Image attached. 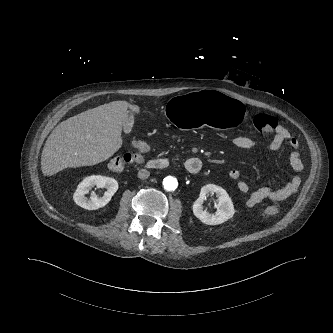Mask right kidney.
<instances>
[{
  "label": "right kidney",
  "mask_w": 333,
  "mask_h": 333,
  "mask_svg": "<svg viewBox=\"0 0 333 333\" xmlns=\"http://www.w3.org/2000/svg\"><path fill=\"white\" fill-rule=\"evenodd\" d=\"M106 188L107 191L103 197H97L94 193L91 194L90 199L85 197V194L93 187ZM118 190V182L111 177L102 175H92L85 177L77 186L73 195V199L77 205L87 210H96L104 207Z\"/></svg>",
  "instance_id": "obj_1"
}]
</instances>
